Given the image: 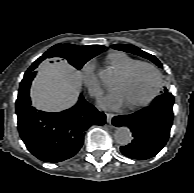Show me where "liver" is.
Masks as SVG:
<instances>
[{
	"label": "liver",
	"instance_id": "6515ba94",
	"mask_svg": "<svg viewBox=\"0 0 194 193\" xmlns=\"http://www.w3.org/2000/svg\"><path fill=\"white\" fill-rule=\"evenodd\" d=\"M81 88V75L69 65L42 68L31 88L33 105L40 110L56 112L71 107Z\"/></svg>",
	"mask_w": 194,
	"mask_h": 193
}]
</instances>
